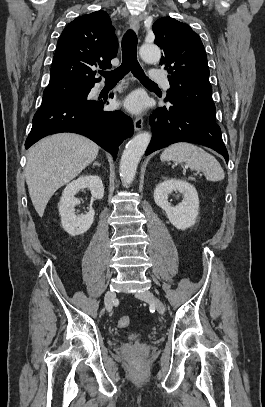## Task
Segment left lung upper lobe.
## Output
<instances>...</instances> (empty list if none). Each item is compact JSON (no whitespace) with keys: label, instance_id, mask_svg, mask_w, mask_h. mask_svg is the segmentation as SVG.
<instances>
[{"label":"left lung upper lobe","instance_id":"obj_1","mask_svg":"<svg viewBox=\"0 0 265 407\" xmlns=\"http://www.w3.org/2000/svg\"><path fill=\"white\" fill-rule=\"evenodd\" d=\"M152 29L154 43L163 50L160 64L169 74L166 101L216 120L207 56L198 34L171 17L158 19Z\"/></svg>","mask_w":265,"mask_h":407}]
</instances>
